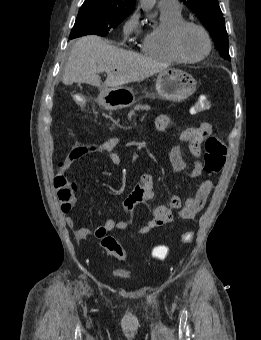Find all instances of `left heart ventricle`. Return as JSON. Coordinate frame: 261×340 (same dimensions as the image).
I'll return each instance as SVG.
<instances>
[{"label":"left heart ventricle","instance_id":"b2bd125f","mask_svg":"<svg viewBox=\"0 0 261 340\" xmlns=\"http://www.w3.org/2000/svg\"><path fill=\"white\" fill-rule=\"evenodd\" d=\"M179 48L186 57L197 58L206 51V39L198 28L189 26L180 34Z\"/></svg>","mask_w":261,"mask_h":340}]
</instances>
